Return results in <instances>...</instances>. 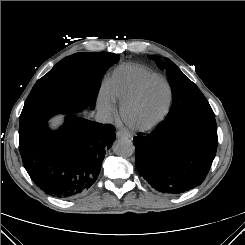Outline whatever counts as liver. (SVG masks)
Returning a JSON list of instances; mask_svg holds the SVG:
<instances>
[{"label":"liver","instance_id":"6515ba94","mask_svg":"<svg viewBox=\"0 0 245 245\" xmlns=\"http://www.w3.org/2000/svg\"><path fill=\"white\" fill-rule=\"evenodd\" d=\"M62 117H63V116H56V117L52 118L51 123H52L53 125L59 124V123L61 122V120H62Z\"/></svg>","mask_w":245,"mask_h":245}]
</instances>
